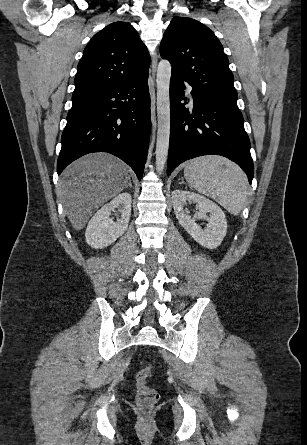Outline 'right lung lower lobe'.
I'll use <instances>...</instances> for the list:
<instances>
[{"label":"right lung lower lobe","instance_id":"obj_1","mask_svg":"<svg viewBox=\"0 0 307 445\" xmlns=\"http://www.w3.org/2000/svg\"><path fill=\"white\" fill-rule=\"evenodd\" d=\"M57 172L90 152H109L142 178L150 135L148 72L126 83L72 97Z\"/></svg>","mask_w":307,"mask_h":445}]
</instances>
